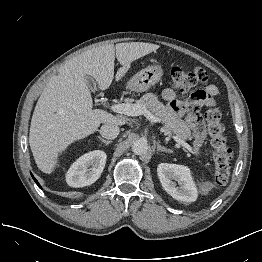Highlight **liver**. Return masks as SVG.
<instances>
[{
	"label": "liver",
	"mask_w": 262,
	"mask_h": 262,
	"mask_svg": "<svg viewBox=\"0 0 262 262\" xmlns=\"http://www.w3.org/2000/svg\"><path fill=\"white\" fill-rule=\"evenodd\" d=\"M159 45L130 42L103 45L69 60L59 68L42 91L31 119L29 144L37 167L50 174L58 155L69 144L94 133L101 123L123 125L126 119L101 109L93 102L85 76L93 77L101 90L114 79L115 51L122 67L116 81L122 79L131 63L157 50Z\"/></svg>",
	"instance_id": "1"
}]
</instances>
